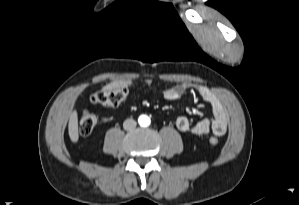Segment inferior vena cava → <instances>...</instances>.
Segmentation results:
<instances>
[{
    "label": "inferior vena cava",
    "instance_id": "602c4592",
    "mask_svg": "<svg viewBox=\"0 0 299 205\" xmlns=\"http://www.w3.org/2000/svg\"><path fill=\"white\" fill-rule=\"evenodd\" d=\"M137 123L133 119H126L123 123V128L125 130H133L136 127Z\"/></svg>",
    "mask_w": 299,
    "mask_h": 205
}]
</instances>
